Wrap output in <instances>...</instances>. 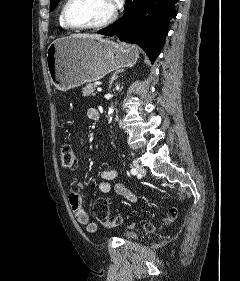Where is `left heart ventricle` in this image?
<instances>
[{
	"label": "left heart ventricle",
	"mask_w": 240,
	"mask_h": 281,
	"mask_svg": "<svg viewBox=\"0 0 240 281\" xmlns=\"http://www.w3.org/2000/svg\"><path fill=\"white\" fill-rule=\"evenodd\" d=\"M113 10L111 0H73L68 16L76 24H93L109 17Z\"/></svg>",
	"instance_id": "obj_1"
}]
</instances>
